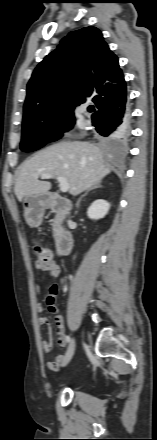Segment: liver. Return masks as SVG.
I'll list each match as a JSON object with an SVG mask.
<instances>
[{
  "label": "liver",
  "mask_w": 157,
  "mask_h": 440,
  "mask_svg": "<svg viewBox=\"0 0 157 440\" xmlns=\"http://www.w3.org/2000/svg\"><path fill=\"white\" fill-rule=\"evenodd\" d=\"M103 151L95 144L82 141L51 145L26 160L19 168L14 192L19 201L26 196L48 193L51 183L39 181L42 174L64 177L69 193L78 195L110 173Z\"/></svg>",
  "instance_id": "6515ba94"
}]
</instances>
